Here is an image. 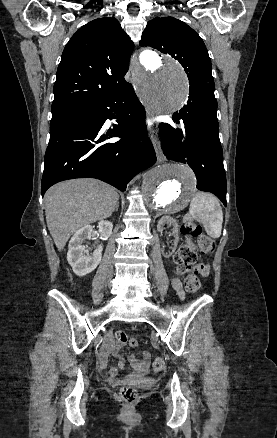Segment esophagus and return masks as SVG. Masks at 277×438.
Returning a JSON list of instances; mask_svg holds the SVG:
<instances>
[{
	"label": "esophagus",
	"mask_w": 277,
	"mask_h": 438,
	"mask_svg": "<svg viewBox=\"0 0 277 438\" xmlns=\"http://www.w3.org/2000/svg\"><path fill=\"white\" fill-rule=\"evenodd\" d=\"M134 58V63L138 64V59H137V53L135 52L133 55ZM150 115H152V113H150ZM158 126H159V122H155L151 131V139L153 140V143L155 145V149L157 151V155L159 156L158 158L160 160L165 159V157L163 156L162 150L160 148V142L158 141Z\"/></svg>",
	"instance_id": "1"
}]
</instances>
